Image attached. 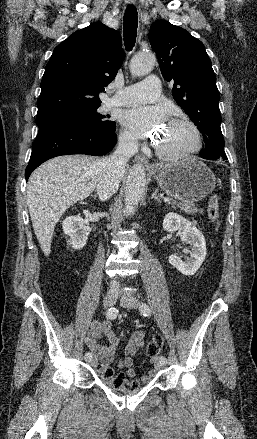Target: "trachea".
<instances>
[{"label": "trachea", "mask_w": 257, "mask_h": 439, "mask_svg": "<svg viewBox=\"0 0 257 439\" xmlns=\"http://www.w3.org/2000/svg\"><path fill=\"white\" fill-rule=\"evenodd\" d=\"M137 10L133 5L127 6L124 14V44L127 51H131L134 47L136 35H137V26H138V17Z\"/></svg>", "instance_id": "3493384b"}]
</instances>
